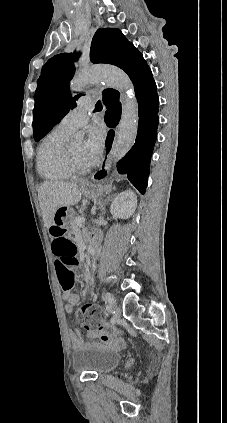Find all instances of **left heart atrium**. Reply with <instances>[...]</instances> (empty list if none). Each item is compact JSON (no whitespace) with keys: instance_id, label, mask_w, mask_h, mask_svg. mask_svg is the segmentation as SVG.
Returning a JSON list of instances; mask_svg holds the SVG:
<instances>
[{"instance_id":"obj_1","label":"left heart atrium","mask_w":227,"mask_h":423,"mask_svg":"<svg viewBox=\"0 0 227 423\" xmlns=\"http://www.w3.org/2000/svg\"><path fill=\"white\" fill-rule=\"evenodd\" d=\"M106 135V130L103 127L89 129L83 152L86 165L93 166L98 163L105 148Z\"/></svg>"}]
</instances>
